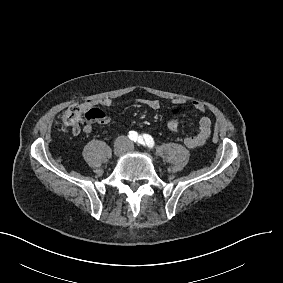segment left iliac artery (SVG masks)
I'll return each mask as SVG.
<instances>
[{
	"instance_id": "obj_1",
	"label": "left iliac artery",
	"mask_w": 283,
	"mask_h": 283,
	"mask_svg": "<svg viewBox=\"0 0 283 283\" xmlns=\"http://www.w3.org/2000/svg\"><path fill=\"white\" fill-rule=\"evenodd\" d=\"M137 142L141 145H147L149 148H153L154 140L151 135L144 134L143 136H139Z\"/></svg>"
}]
</instances>
